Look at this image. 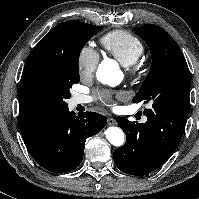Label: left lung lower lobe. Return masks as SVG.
Returning a JSON list of instances; mask_svg holds the SVG:
<instances>
[{
	"label": "left lung lower lobe",
	"mask_w": 199,
	"mask_h": 199,
	"mask_svg": "<svg viewBox=\"0 0 199 199\" xmlns=\"http://www.w3.org/2000/svg\"><path fill=\"white\" fill-rule=\"evenodd\" d=\"M189 114L156 107L145 112L146 123L117 117L126 143L117 148L114 162L122 172L142 176L161 167L177 149Z\"/></svg>",
	"instance_id": "obj_1"
}]
</instances>
